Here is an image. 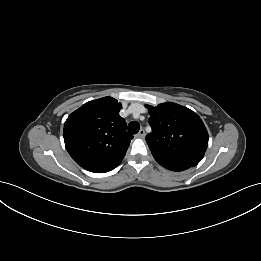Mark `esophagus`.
<instances>
[{
	"mask_svg": "<svg viewBox=\"0 0 261 261\" xmlns=\"http://www.w3.org/2000/svg\"><path fill=\"white\" fill-rule=\"evenodd\" d=\"M138 138H144L145 137V131L144 129H141L138 134L136 135Z\"/></svg>",
	"mask_w": 261,
	"mask_h": 261,
	"instance_id": "obj_1",
	"label": "esophagus"
}]
</instances>
